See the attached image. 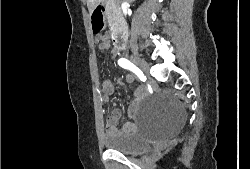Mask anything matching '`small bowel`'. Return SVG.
Wrapping results in <instances>:
<instances>
[{"mask_svg":"<svg viewBox=\"0 0 250 169\" xmlns=\"http://www.w3.org/2000/svg\"><path fill=\"white\" fill-rule=\"evenodd\" d=\"M96 43L99 48L103 51H106L110 48V40L107 35L100 34L95 38ZM136 77L133 74H127L124 77V81L128 84L134 83ZM115 92V83L111 79H106L103 81V97L104 101H110ZM134 101L132 102L129 109V117L132 118L136 110L139 108L141 101L146 95V89L143 86H138L133 91ZM122 116V112L119 108L112 110L111 115L107 119L106 129L107 132L113 134L118 131V121ZM135 129V124L133 122H128L121 128V131L124 133H131Z\"/></svg>","mask_w":250,"mask_h":169,"instance_id":"c3829d8e","label":"small bowel"}]
</instances>
